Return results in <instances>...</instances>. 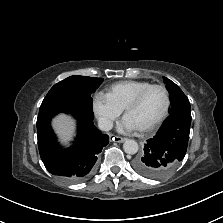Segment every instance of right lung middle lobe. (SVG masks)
Instances as JSON below:
<instances>
[{
  "instance_id": "obj_1",
  "label": "right lung middle lobe",
  "mask_w": 223,
  "mask_h": 223,
  "mask_svg": "<svg viewBox=\"0 0 223 223\" xmlns=\"http://www.w3.org/2000/svg\"><path fill=\"white\" fill-rule=\"evenodd\" d=\"M103 80V78L87 76H70L58 82L50 89L40 108L70 97L79 99L92 106L93 99L91 94L95 92Z\"/></svg>"
}]
</instances>
